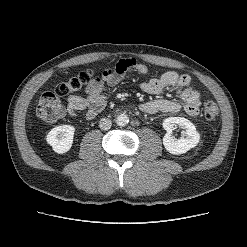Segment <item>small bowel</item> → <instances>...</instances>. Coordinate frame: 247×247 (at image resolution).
Segmentation results:
<instances>
[{"label": "small bowel", "mask_w": 247, "mask_h": 247, "mask_svg": "<svg viewBox=\"0 0 247 247\" xmlns=\"http://www.w3.org/2000/svg\"><path fill=\"white\" fill-rule=\"evenodd\" d=\"M125 66L121 69L120 66ZM148 67L138 63L135 59H122L114 67L106 69L102 76L94 79L86 88L84 97L70 95L67 98V112L70 116H77L81 112L87 119L98 115L106 106L107 97L103 90L105 86L113 87L122 78L131 72H138L142 75L148 74ZM141 89L149 94L160 95L166 90L178 94L182 102L168 98H157L149 100L140 105L144 113H175L182 108L190 116H197L200 111L201 95L192 88L191 78L187 74H179L176 71H167L159 77L152 78L141 83Z\"/></svg>", "instance_id": "c3829d8e"}]
</instances>
